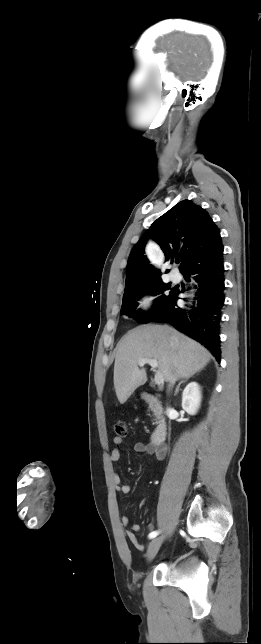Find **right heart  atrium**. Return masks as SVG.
Returning a JSON list of instances; mask_svg holds the SVG:
<instances>
[{
    "label": "right heart atrium",
    "mask_w": 261,
    "mask_h": 644,
    "mask_svg": "<svg viewBox=\"0 0 261 644\" xmlns=\"http://www.w3.org/2000/svg\"><path fill=\"white\" fill-rule=\"evenodd\" d=\"M151 301H152L151 296L146 295L141 299V306L143 308H148L150 306V304H151Z\"/></svg>",
    "instance_id": "d8ad5b80"
}]
</instances>
